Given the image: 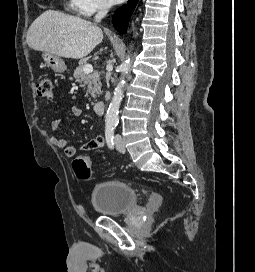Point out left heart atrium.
Instances as JSON below:
<instances>
[{
	"label": "left heart atrium",
	"mask_w": 255,
	"mask_h": 272,
	"mask_svg": "<svg viewBox=\"0 0 255 272\" xmlns=\"http://www.w3.org/2000/svg\"><path fill=\"white\" fill-rule=\"evenodd\" d=\"M111 3H119L122 2L123 0H109Z\"/></svg>",
	"instance_id": "39dd6f15"
}]
</instances>
